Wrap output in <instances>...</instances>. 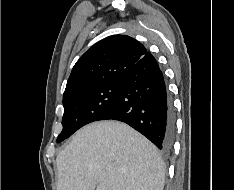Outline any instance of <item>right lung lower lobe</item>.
<instances>
[{"mask_svg":"<svg viewBox=\"0 0 234 190\" xmlns=\"http://www.w3.org/2000/svg\"><path fill=\"white\" fill-rule=\"evenodd\" d=\"M122 121L169 151L175 134V116L163 73L147 52L122 77L118 97L99 120Z\"/></svg>","mask_w":234,"mask_h":190,"instance_id":"obj_1","label":"right lung lower lobe"}]
</instances>
